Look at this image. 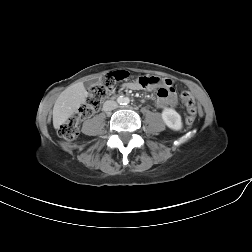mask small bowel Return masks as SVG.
Returning a JSON list of instances; mask_svg holds the SVG:
<instances>
[{"mask_svg": "<svg viewBox=\"0 0 252 252\" xmlns=\"http://www.w3.org/2000/svg\"><path fill=\"white\" fill-rule=\"evenodd\" d=\"M152 81L151 87L157 88V99H156V105L158 107L164 106V105H175L177 102L176 93L174 89V83L170 78H158V77H148ZM125 87L129 90H140L144 89L142 85L136 81L129 82L125 85Z\"/></svg>", "mask_w": 252, "mask_h": 252, "instance_id": "small-bowel-1", "label": "small bowel"}]
</instances>
